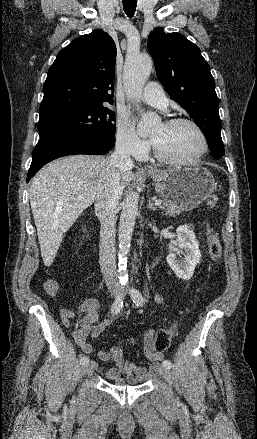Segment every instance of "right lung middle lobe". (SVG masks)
I'll return each mask as SVG.
<instances>
[{
	"label": "right lung middle lobe",
	"instance_id": "obj_1",
	"mask_svg": "<svg viewBox=\"0 0 257 439\" xmlns=\"http://www.w3.org/2000/svg\"><path fill=\"white\" fill-rule=\"evenodd\" d=\"M115 113L106 105L75 109L39 120L40 138L52 133L71 131L96 135L115 142Z\"/></svg>",
	"mask_w": 257,
	"mask_h": 439
}]
</instances>
